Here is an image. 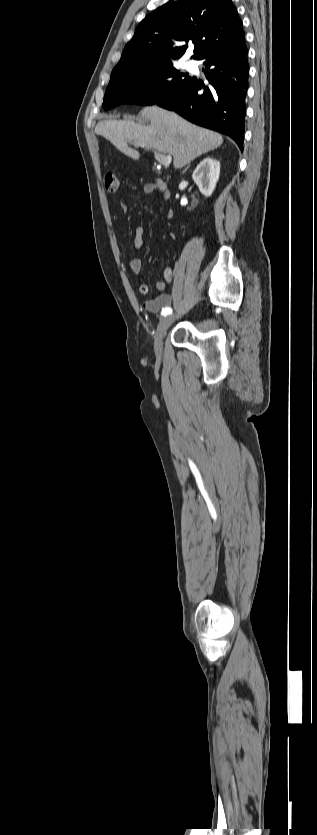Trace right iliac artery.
Listing matches in <instances>:
<instances>
[{"mask_svg": "<svg viewBox=\"0 0 317 835\" xmlns=\"http://www.w3.org/2000/svg\"><path fill=\"white\" fill-rule=\"evenodd\" d=\"M171 313H172V309H171V307H166V308H164V309L162 310V312H161V314H162V315H164V316H166V315H168V314H171Z\"/></svg>", "mask_w": 317, "mask_h": 835, "instance_id": "1", "label": "right iliac artery"}]
</instances>
